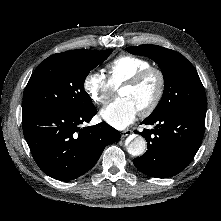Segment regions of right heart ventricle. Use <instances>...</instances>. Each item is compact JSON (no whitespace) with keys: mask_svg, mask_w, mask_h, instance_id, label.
Segmentation results:
<instances>
[{"mask_svg":"<svg viewBox=\"0 0 221 221\" xmlns=\"http://www.w3.org/2000/svg\"><path fill=\"white\" fill-rule=\"evenodd\" d=\"M149 66L150 62L146 59L132 55H122L107 64V78L113 87H118L138 71Z\"/></svg>","mask_w":221,"mask_h":221,"instance_id":"obj_1","label":"right heart ventricle"}]
</instances>
